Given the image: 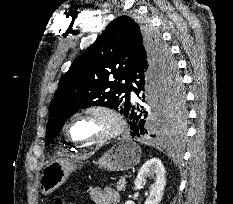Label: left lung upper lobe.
I'll return each mask as SVG.
<instances>
[{
  "label": "left lung upper lobe",
  "instance_id": "left-lung-upper-lobe-1",
  "mask_svg": "<svg viewBox=\"0 0 233 204\" xmlns=\"http://www.w3.org/2000/svg\"><path fill=\"white\" fill-rule=\"evenodd\" d=\"M140 52L145 54V62L161 85L166 125L181 128L184 94L168 48L146 24L124 15L110 22L99 39L61 77L49 105L45 146L79 108L105 106L124 115L131 105L130 71ZM122 93L125 96L121 97Z\"/></svg>",
  "mask_w": 233,
  "mask_h": 204
}]
</instances>
